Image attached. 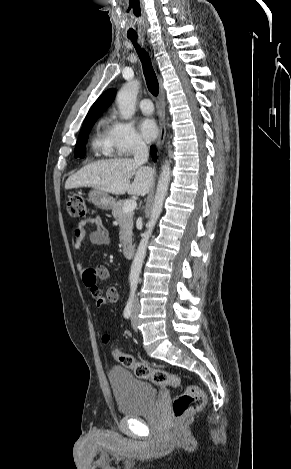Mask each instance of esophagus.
<instances>
[{"mask_svg":"<svg viewBox=\"0 0 291 469\" xmlns=\"http://www.w3.org/2000/svg\"><path fill=\"white\" fill-rule=\"evenodd\" d=\"M160 82V93H159V136L156 142V146L159 148L164 143L166 136V122H165V96L162 87V81Z\"/></svg>","mask_w":291,"mask_h":469,"instance_id":"obj_1","label":"esophagus"}]
</instances>
